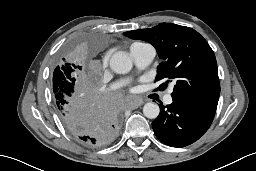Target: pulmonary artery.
<instances>
[{"mask_svg": "<svg viewBox=\"0 0 256 171\" xmlns=\"http://www.w3.org/2000/svg\"><path fill=\"white\" fill-rule=\"evenodd\" d=\"M130 53H131L132 59L134 61V64L139 69L146 68L153 61L155 54H156L155 49L151 45L144 44V43L132 46L130 48ZM123 83H124V81L115 82L110 86V89L114 90V89L120 87ZM164 102L166 104L172 103L171 93H168L165 96Z\"/></svg>", "mask_w": 256, "mask_h": 171, "instance_id": "obj_1", "label": "pulmonary artery"}]
</instances>
